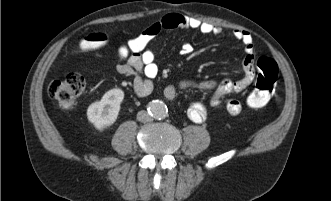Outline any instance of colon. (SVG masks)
I'll use <instances>...</instances> for the list:
<instances>
[{"label":"colon","instance_id":"obj_1","mask_svg":"<svg viewBox=\"0 0 331 201\" xmlns=\"http://www.w3.org/2000/svg\"><path fill=\"white\" fill-rule=\"evenodd\" d=\"M109 37L104 33H92L85 37L82 48L95 50L107 44ZM258 75L254 90L247 99L251 108L265 106L272 98L277 84L278 66L267 56L257 60ZM85 88L84 77L78 72L69 73L65 78L53 81L49 86V94L64 110L73 109Z\"/></svg>","mask_w":331,"mask_h":201}]
</instances>
